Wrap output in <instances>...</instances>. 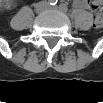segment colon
Returning <instances> with one entry per match:
<instances>
[{
    "label": "colon",
    "mask_w": 103,
    "mask_h": 103,
    "mask_svg": "<svg viewBox=\"0 0 103 103\" xmlns=\"http://www.w3.org/2000/svg\"><path fill=\"white\" fill-rule=\"evenodd\" d=\"M89 8H91L92 11L95 12V20L94 25L95 27L99 28L103 24V12L102 7L99 1H91L89 2Z\"/></svg>",
    "instance_id": "colon-1"
}]
</instances>
